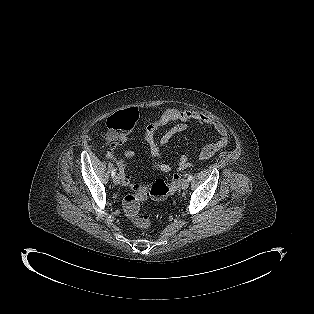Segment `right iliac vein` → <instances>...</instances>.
I'll return each mask as SVG.
<instances>
[{
    "mask_svg": "<svg viewBox=\"0 0 314 314\" xmlns=\"http://www.w3.org/2000/svg\"><path fill=\"white\" fill-rule=\"evenodd\" d=\"M113 182H114V184H116V185L120 184V182H121L120 176H119V175L114 176Z\"/></svg>",
    "mask_w": 314,
    "mask_h": 314,
    "instance_id": "right-iliac-vein-1",
    "label": "right iliac vein"
}]
</instances>
